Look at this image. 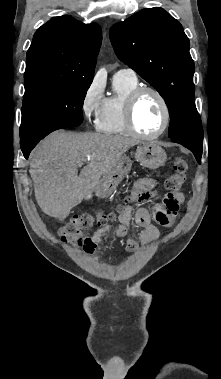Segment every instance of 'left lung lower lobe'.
Returning a JSON list of instances; mask_svg holds the SVG:
<instances>
[{
  "label": "left lung lower lobe",
  "instance_id": "obj_1",
  "mask_svg": "<svg viewBox=\"0 0 221 379\" xmlns=\"http://www.w3.org/2000/svg\"><path fill=\"white\" fill-rule=\"evenodd\" d=\"M176 143H179L183 146H185L186 148H188L189 150H191L193 152V154L195 155L197 161L200 163L201 162V156H202V149H198L196 147H193L189 144H186V143H182V142H176Z\"/></svg>",
  "mask_w": 221,
  "mask_h": 379
}]
</instances>
